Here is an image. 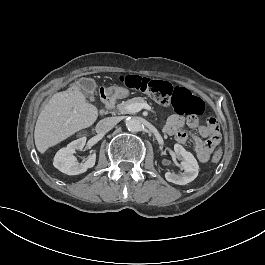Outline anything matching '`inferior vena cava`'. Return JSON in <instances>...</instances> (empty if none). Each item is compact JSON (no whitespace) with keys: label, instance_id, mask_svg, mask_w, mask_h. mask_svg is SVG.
Segmentation results:
<instances>
[{"label":"inferior vena cava","instance_id":"602c4592","mask_svg":"<svg viewBox=\"0 0 265 265\" xmlns=\"http://www.w3.org/2000/svg\"><path fill=\"white\" fill-rule=\"evenodd\" d=\"M116 125V119L113 117H108L100 120L96 127L95 132L97 134L105 135L108 131H110Z\"/></svg>","mask_w":265,"mask_h":265}]
</instances>
